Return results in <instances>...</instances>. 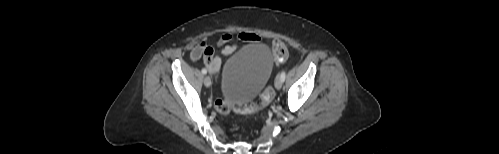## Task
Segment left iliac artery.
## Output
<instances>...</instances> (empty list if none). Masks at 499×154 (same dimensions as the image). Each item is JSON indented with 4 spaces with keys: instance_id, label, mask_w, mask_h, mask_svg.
Returning <instances> with one entry per match:
<instances>
[{
    "instance_id": "obj_1",
    "label": "left iliac artery",
    "mask_w": 499,
    "mask_h": 154,
    "mask_svg": "<svg viewBox=\"0 0 499 154\" xmlns=\"http://www.w3.org/2000/svg\"><path fill=\"white\" fill-rule=\"evenodd\" d=\"M280 77H281V80L284 82V81H285V78H286V73H285V71H282V72H281Z\"/></svg>"
}]
</instances>
